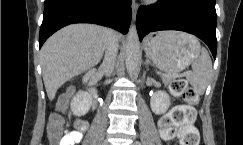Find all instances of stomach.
Segmentation results:
<instances>
[{"label": "stomach", "instance_id": "stomach-1", "mask_svg": "<svg viewBox=\"0 0 243 145\" xmlns=\"http://www.w3.org/2000/svg\"><path fill=\"white\" fill-rule=\"evenodd\" d=\"M146 55L166 73L184 70L200 53L197 39L177 31H162L146 40Z\"/></svg>", "mask_w": 243, "mask_h": 145}]
</instances>
